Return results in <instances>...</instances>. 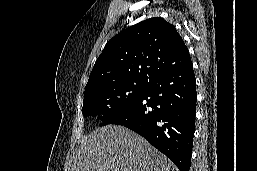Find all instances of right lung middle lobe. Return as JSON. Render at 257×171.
Instances as JSON below:
<instances>
[{
	"mask_svg": "<svg viewBox=\"0 0 257 171\" xmlns=\"http://www.w3.org/2000/svg\"><path fill=\"white\" fill-rule=\"evenodd\" d=\"M147 86V83L127 82L86 91L82 113L84 116L98 115L104 124L109 118L132 104Z\"/></svg>",
	"mask_w": 257,
	"mask_h": 171,
	"instance_id": "1",
	"label": "right lung middle lobe"
}]
</instances>
